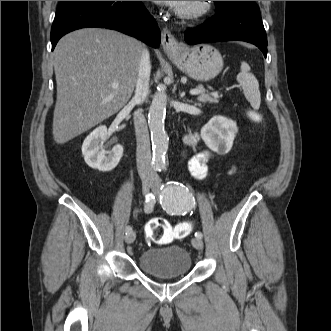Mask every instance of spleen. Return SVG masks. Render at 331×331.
<instances>
[{
	"label": "spleen",
	"mask_w": 331,
	"mask_h": 331,
	"mask_svg": "<svg viewBox=\"0 0 331 331\" xmlns=\"http://www.w3.org/2000/svg\"><path fill=\"white\" fill-rule=\"evenodd\" d=\"M240 68L241 72L237 75V81L242 86L244 95L251 106L259 109L261 103L259 83L256 77L250 73V66L246 62L243 61Z\"/></svg>",
	"instance_id": "3e777b00"
}]
</instances>
